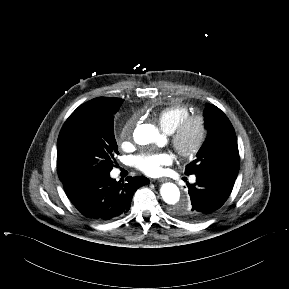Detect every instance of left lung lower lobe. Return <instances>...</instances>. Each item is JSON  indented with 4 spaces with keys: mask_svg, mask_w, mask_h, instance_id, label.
Instances as JSON below:
<instances>
[{
    "mask_svg": "<svg viewBox=\"0 0 289 289\" xmlns=\"http://www.w3.org/2000/svg\"><path fill=\"white\" fill-rule=\"evenodd\" d=\"M234 182L235 178L219 173L197 174L196 183L187 184L191 204L187 210L181 211V217L188 221L209 217L225 203Z\"/></svg>",
    "mask_w": 289,
    "mask_h": 289,
    "instance_id": "1",
    "label": "left lung lower lobe"
}]
</instances>
